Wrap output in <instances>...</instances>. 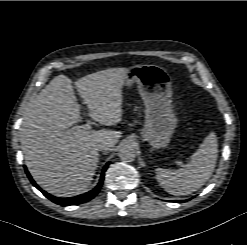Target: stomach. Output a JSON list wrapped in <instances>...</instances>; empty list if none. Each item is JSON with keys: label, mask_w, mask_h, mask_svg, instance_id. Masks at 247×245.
I'll list each match as a JSON object with an SVG mask.
<instances>
[{"label": "stomach", "mask_w": 247, "mask_h": 245, "mask_svg": "<svg viewBox=\"0 0 247 245\" xmlns=\"http://www.w3.org/2000/svg\"><path fill=\"white\" fill-rule=\"evenodd\" d=\"M127 69L125 85L137 84L145 105V124L141 136L153 149L165 148L177 127L172 111V82L168 72L153 64L134 65Z\"/></svg>", "instance_id": "obj_1"}]
</instances>
